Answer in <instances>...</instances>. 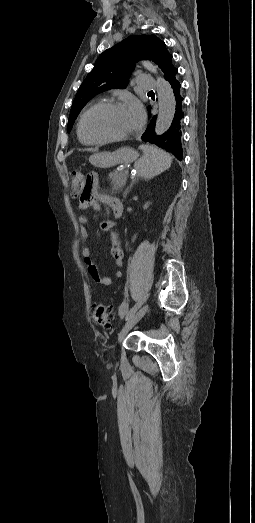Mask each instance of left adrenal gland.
<instances>
[{
  "label": "left adrenal gland",
  "instance_id": "obj_1",
  "mask_svg": "<svg viewBox=\"0 0 255 523\" xmlns=\"http://www.w3.org/2000/svg\"><path fill=\"white\" fill-rule=\"evenodd\" d=\"M131 180H132V182H131L130 186H128L127 190H125V192L123 194V198H126L130 188H132L133 184H135V182H136V178H131Z\"/></svg>",
  "mask_w": 255,
  "mask_h": 523
}]
</instances>
